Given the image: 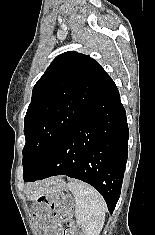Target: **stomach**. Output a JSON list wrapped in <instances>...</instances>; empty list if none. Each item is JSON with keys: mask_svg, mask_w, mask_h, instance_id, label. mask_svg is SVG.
I'll return each mask as SVG.
<instances>
[{"mask_svg": "<svg viewBox=\"0 0 155 235\" xmlns=\"http://www.w3.org/2000/svg\"><path fill=\"white\" fill-rule=\"evenodd\" d=\"M66 188V183L60 178H52L36 184L27 191L30 200H37L41 196H48L61 193Z\"/></svg>", "mask_w": 155, "mask_h": 235, "instance_id": "stomach-1", "label": "stomach"}]
</instances>
